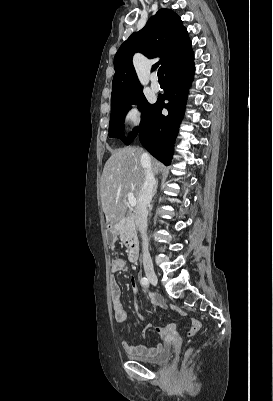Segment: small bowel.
<instances>
[{"label":"small bowel","instance_id":"obj_1","mask_svg":"<svg viewBox=\"0 0 273 401\" xmlns=\"http://www.w3.org/2000/svg\"><path fill=\"white\" fill-rule=\"evenodd\" d=\"M127 268V261L122 257V255L118 252L115 253V259L111 263V271L113 273H119ZM130 286L135 294H138L139 288L138 285L134 279V277L130 278ZM110 296H111V301H112V309L114 313V320L117 323H123L126 318H127V313L126 310L123 307L122 301H121V296H122V291L121 287L118 283V281L115 278H112L110 281ZM153 306L157 309H165L167 307V304L164 300V298L160 295H155L152 300H151ZM172 311H175L178 313V316L180 319H187L189 316V313L187 310H181L179 306L173 307ZM136 317L138 320L142 321L144 320V315L140 310V307L137 306L136 308ZM201 319L200 318H194L192 320V323L190 324L189 328V333L188 336L191 338H196L197 333L199 332V329L201 328ZM150 327H146V329H149ZM156 332L161 336L162 338V344L157 345L155 348L148 350L143 346H138V345H133L129 341H122L121 345L122 348L125 352L132 354V355H151L154 354L157 351L164 349H167L170 344L172 338H178L180 336V333L176 331L175 327L173 324H166V325H160L155 327ZM169 334V336L167 335Z\"/></svg>","mask_w":273,"mask_h":401}]
</instances>
